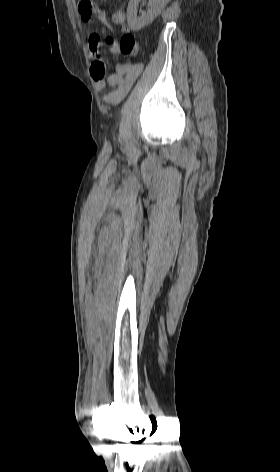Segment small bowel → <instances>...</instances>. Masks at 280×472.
Returning <instances> with one entry per match:
<instances>
[{
  "label": "small bowel",
  "mask_w": 280,
  "mask_h": 472,
  "mask_svg": "<svg viewBox=\"0 0 280 472\" xmlns=\"http://www.w3.org/2000/svg\"><path fill=\"white\" fill-rule=\"evenodd\" d=\"M88 2L91 6H88ZM79 14L84 22H89L93 16L110 26V21L105 11L92 0H78ZM112 24L119 26L123 32L130 31L126 24V14L122 9L115 10L111 16ZM89 50L92 56L90 67L91 77L97 90L108 89L103 96V101L110 105L119 104L128 94L135 81L140 76L143 65L139 62H122L116 65V73L105 77L106 66L102 54L106 49L109 53L117 55L120 53L119 42L113 37H107L102 41L97 33L89 36Z\"/></svg>",
  "instance_id": "obj_1"
}]
</instances>
